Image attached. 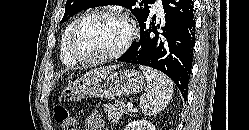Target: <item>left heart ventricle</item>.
<instances>
[{
	"label": "left heart ventricle",
	"mask_w": 249,
	"mask_h": 130,
	"mask_svg": "<svg viewBox=\"0 0 249 130\" xmlns=\"http://www.w3.org/2000/svg\"><path fill=\"white\" fill-rule=\"evenodd\" d=\"M128 34L129 27L123 19L94 16L80 27L75 47L83 55H104L117 50Z\"/></svg>",
	"instance_id": "obj_1"
}]
</instances>
